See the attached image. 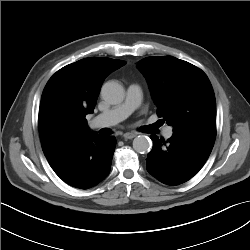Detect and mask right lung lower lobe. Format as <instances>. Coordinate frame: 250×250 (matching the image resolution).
Returning <instances> with one entry per match:
<instances>
[{"label":"right lung lower lobe","mask_w":250,"mask_h":250,"mask_svg":"<svg viewBox=\"0 0 250 250\" xmlns=\"http://www.w3.org/2000/svg\"><path fill=\"white\" fill-rule=\"evenodd\" d=\"M115 146L114 136L91 132L60 145L45 156L64 182L75 188L89 189L109 173Z\"/></svg>","instance_id":"1"}]
</instances>
